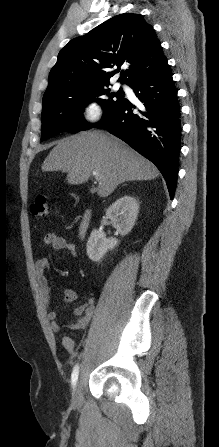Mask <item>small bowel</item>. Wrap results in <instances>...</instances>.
Wrapping results in <instances>:
<instances>
[{
  "instance_id": "1",
  "label": "small bowel",
  "mask_w": 219,
  "mask_h": 447,
  "mask_svg": "<svg viewBox=\"0 0 219 447\" xmlns=\"http://www.w3.org/2000/svg\"><path fill=\"white\" fill-rule=\"evenodd\" d=\"M43 244L52 247L54 250L66 251L73 257H77V246L74 242L68 241L62 236L54 233H48L43 236ZM49 260L47 258H40L36 261V277L39 283V289L42 296V300L46 305H49L51 299V288L48 278L45 274L49 268ZM63 301L66 304L73 303L78 293L73 289H65L62 293ZM95 311V301L91 296L86 297L85 301L76 306L72 312L76 318L75 321L67 323L65 325L58 321V314L55 310H49L47 312V319L51 323V328L54 332H59L62 328L66 327L70 330H85L88 328ZM62 344L68 352L74 353L75 344L73 340L64 336L62 338Z\"/></svg>"
}]
</instances>
